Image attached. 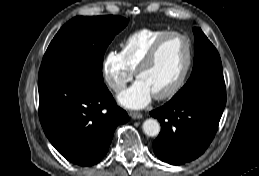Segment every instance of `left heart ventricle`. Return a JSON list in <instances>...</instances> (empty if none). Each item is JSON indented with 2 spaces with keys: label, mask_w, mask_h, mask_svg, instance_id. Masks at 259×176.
Wrapping results in <instances>:
<instances>
[{
  "label": "left heart ventricle",
  "mask_w": 259,
  "mask_h": 176,
  "mask_svg": "<svg viewBox=\"0 0 259 176\" xmlns=\"http://www.w3.org/2000/svg\"><path fill=\"white\" fill-rule=\"evenodd\" d=\"M187 56L186 41L179 36L168 38L155 61L139 75L153 95L166 91L181 74Z\"/></svg>",
  "instance_id": "left-heart-ventricle-1"
}]
</instances>
